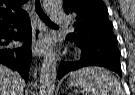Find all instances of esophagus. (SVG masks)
<instances>
[{"instance_id":"esophagus-1","label":"esophagus","mask_w":135,"mask_h":95,"mask_svg":"<svg viewBox=\"0 0 135 95\" xmlns=\"http://www.w3.org/2000/svg\"><path fill=\"white\" fill-rule=\"evenodd\" d=\"M33 20V37H32V53L35 57H41L45 54V47L42 46V35L44 26L39 16L34 12Z\"/></svg>"}]
</instances>
